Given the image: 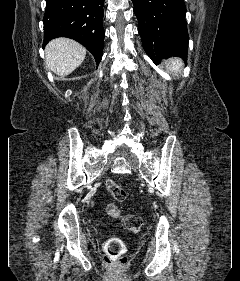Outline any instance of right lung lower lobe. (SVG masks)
<instances>
[{
  "label": "right lung lower lobe",
  "mask_w": 240,
  "mask_h": 281,
  "mask_svg": "<svg viewBox=\"0 0 240 281\" xmlns=\"http://www.w3.org/2000/svg\"><path fill=\"white\" fill-rule=\"evenodd\" d=\"M43 47L57 37H68L85 46L97 65L102 58L104 0H46Z\"/></svg>",
  "instance_id": "98d812e1"
}]
</instances>
